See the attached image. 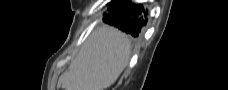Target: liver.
<instances>
[{
  "mask_svg": "<svg viewBox=\"0 0 228 90\" xmlns=\"http://www.w3.org/2000/svg\"><path fill=\"white\" fill-rule=\"evenodd\" d=\"M130 41L119 30L96 28L59 80L63 90H105L118 79L130 57Z\"/></svg>",
  "mask_w": 228,
  "mask_h": 90,
  "instance_id": "6515ba94",
  "label": "liver"
}]
</instances>
